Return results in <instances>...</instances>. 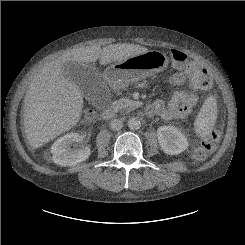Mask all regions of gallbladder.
<instances>
[{"mask_svg": "<svg viewBox=\"0 0 245 245\" xmlns=\"http://www.w3.org/2000/svg\"><path fill=\"white\" fill-rule=\"evenodd\" d=\"M67 78L77 85L83 96L96 108H103L108 99V91L100 71L90 65L70 62L65 65Z\"/></svg>", "mask_w": 245, "mask_h": 245, "instance_id": "obj_1", "label": "gallbladder"}]
</instances>
